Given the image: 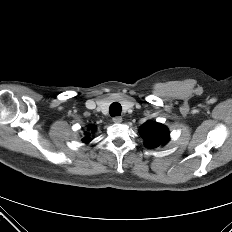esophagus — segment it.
Segmentation results:
<instances>
[{"instance_id": "obj_1", "label": "esophagus", "mask_w": 232, "mask_h": 232, "mask_svg": "<svg viewBox=\"0 0 232 232\" xmlns=\"http://www.w3.org/2000/svg\"><path fill=\"white\" fill-rule=\"evenodd\" d=\"M113 122L114 123H121L122 122V117H120V116H115V117H113Z\"/></svg>"}]
</instances>
